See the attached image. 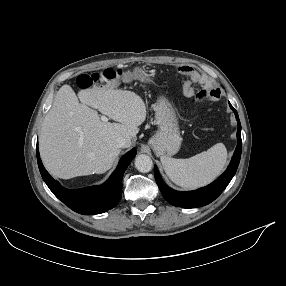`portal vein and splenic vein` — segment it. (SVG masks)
I'll return each instance as SVG.
<instances>
[{
    "label": "portal vein and splenic vein",
    "mask_w": 286,
    "mask_h": 286,
    "mask_svg": "<svg viewBox=\"0 0 286 286\" xmlns=\"http://www.w3.org/2000/svg\"><path fill=\"white\" fill-rule=\"evenodd\" d=\"M101 120H102L103 122H107V121H108V118L103 115V116H101Z\"/></svg>",
    "instance_id": "1"
}]
</instances>
